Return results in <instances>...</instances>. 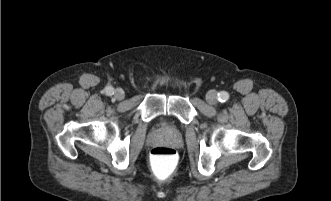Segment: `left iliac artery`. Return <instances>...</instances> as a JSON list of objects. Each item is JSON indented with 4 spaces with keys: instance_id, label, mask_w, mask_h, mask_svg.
<instances>
[{
    "instance_id": "left-iliac-artery-1",
    "label": "left iliac artery",
    "mask_w": 331,
    "mask_h": 201,
    "mask_svg": "<svg viewBox=\"0 0 331 201\" xmlns=\"http://www.w3.org/2000/svg\"><path fill=\"white\" fill-rule=\"evenodd\" d=\"M229 99V94L227 92H220L218 93V100L220 102H226Z\"/></svg>"
}]
</instances>
